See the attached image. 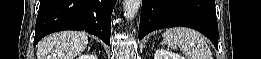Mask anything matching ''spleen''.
Returning <instances> with one entry per match:
<instances>
[{
  "instance_id": "3e777b00",
  "label": "spleen",
  "mask_w": 261,
  "mask_h": 59,
  "mask_svg": "<svg viewBox=\"0 0 261 59\" xmlns=\"http://www.w3.org/2000/svg\"><path fill=\"white\" fill-rule=\"evenodd\" d=\"M163 43L170 48L178 46L188 59H213L204 37L190 28L167 29L163 34Z\"/></svg>"
}]
</instances>
